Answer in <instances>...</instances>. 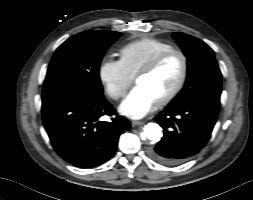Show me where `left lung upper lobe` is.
Returning <instances> with one entry per match:
<instances>
[{"label":"left lung upper lobe","instance_id":"left-lung-upper-lobe-1","mask_svg":"<svg viewBox=\"0 0 253 200\" xmlns=\"http://www.w3.org/2000/svg\"><path fill=\"white\" fill-rule=\"evenodd\" d=\"M187 57V80L182 91L170 105H185L196 99H220L221 72L213 50L203 41L184 33H173Z\"/></svg>","mask_w":253,"mask_h":200}]
</instances>
